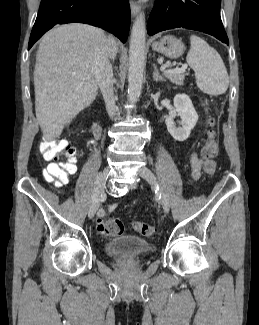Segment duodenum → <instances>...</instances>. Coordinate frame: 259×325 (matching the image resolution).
<instances>
[{
  "mask_svg": "<svg viewBox=\"0 0 259 325\" xmlns=\"http://www.w3.org/2000/svg\"><path fill=\"white\" fill-rule=\"evenodd\" d=\"M92 130L96 136H100L102 133V128L98 122L93 123Z\"/></svg>",
  "mask_w": 259,
  "mask_h": 325,
  "instance_id": "obj_1",
  "label": "duodenum"
}]
</instances>
